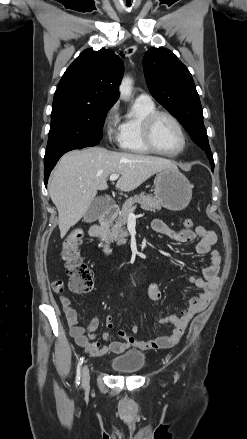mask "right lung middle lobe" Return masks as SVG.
<instances>
[{"label":"right lung middle lobe","instance_id":"obj_1","mask_svg":"<svg viewBox=\"0 0 247 439\" xmlns=\"http://www.w3.org/2000/svg\"><path fill=\"white\" fill-rule=\"evenodd\" d=\"M111 107L59 105L52 107L44 166L73 149L97 145Z\"/></svg>","mask_w":247,"mask_h":439}]
</instances>
